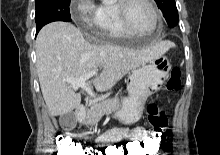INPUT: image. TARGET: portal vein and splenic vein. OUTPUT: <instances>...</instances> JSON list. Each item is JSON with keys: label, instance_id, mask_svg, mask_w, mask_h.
<instances>
[{"label": "portal vein and splenic vein", "instance_id": "18ae733b", "mask_svg": "<svg viewBox=\"0 0 220 155\" xmlns=\"http://www.w3.org/2000/svg\"><path fill=\"white\" fill-rule=\"evenodd\" d=\"M96 72L97 70H93L87 74H84L83 76L79 78H67V79H64V81H66L67 83H70L75 90L81 87L88 93V95L91 98H96V94L91 90L90 86L86 82L88 79L94 76Z\"/></svg>", "mask_w": 220, "mask_h": 155}]
</instances>
